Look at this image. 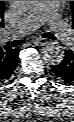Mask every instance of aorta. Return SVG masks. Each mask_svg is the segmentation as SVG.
Returning <instances> with one entry per match:
<instances>
[{
  "mask_svg": "<svg viewBox=\"0 0 74 122\" xmlns=\"http://www.w3.org/2000/svg\"><path fill=\"white\" fill-rule=\"evenodd\" d=\"M39 1H11L12 7L18 12H28L38 5ZM65 52L62 45L49 42L42 48V57L49 65H58L64 59Z\"/></svg>",
  "mask_w": 74,
  "mask_h": 122,
  "instance_id": "aorta-1",
  "label": "aorta"
}]
</instances>
